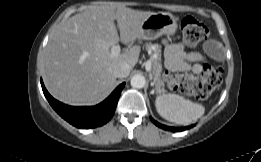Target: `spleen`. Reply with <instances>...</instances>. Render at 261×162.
I'll return each instance as SVG.
<instances>
[{
    "label": "spleen",
    "instance_id": "1",
    "mask_svg": "<svg viewBox=\"0 0 261 162\" xmlns=\"http://www.w3.org/2000/svg\"><path fill=\"white\" fill-rule=\"evenodd\" d=\"M156 110L164 119L176 124H189L201 118L205 108L177 94L158 95L155 100Z\"/></svg>",
    "mask_w": 261,
    "mask_h": 162
}]
</instances>
